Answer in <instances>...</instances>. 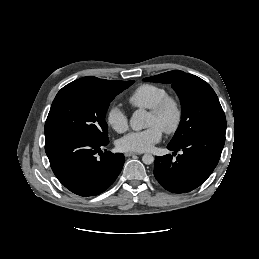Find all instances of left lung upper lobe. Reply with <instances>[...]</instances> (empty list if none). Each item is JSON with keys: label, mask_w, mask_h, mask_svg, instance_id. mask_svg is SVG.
Returning a JSON list of instances; mask_svg holds the SVG:
<instances>
[{"label": "left lung upper lobe", "mask_w": 259, "mask_h": 259, "mask_svg": "<svg viewBox=\"0 0 259 259\" xmlns=\"http://www.w3.org/2000/svg\"><path fill=\"white\" fill-rule=\"evenodd\" d=\"M144 81L172 84L181 100L182 119L170 145L180 146L189 138L203 133L225 136V114L216 93L207 82L180 70L148 77Z\"/></svg>", "instance_id": "left-lung-upper-lobe-1"}]
</instances>
